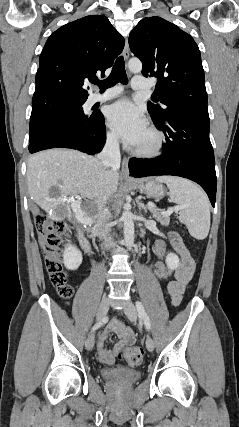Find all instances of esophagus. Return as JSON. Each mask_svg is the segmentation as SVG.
<instances>
[{
    "label": "esophagus",
    "mask_w": 239,
    "mask_h": 427,
    "mask_svg": "<svg viewBox=\"0 0 239 427\" xmlns=\"http://www.w3.org/2000/svg\"><path fill=\"white\" fill-rule=\"evenodd\" d=\"M129 52H130L129 44H128V40L126 39L124 49H123V57L125 60L129 58ZM121 175L125 179L129 178L128 159L126 157H123V160H122Z\"/></svg>",
    "instance_id": "1"
}]
</instances>
